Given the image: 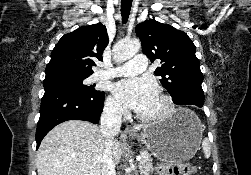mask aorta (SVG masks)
I'll return each instance as SVG.
<instances>
[{
  "instance_id": "762f6f07",
  "label": "aorta",
  "mask_w": 251,
  "mask_h": 175,
  "mask_svg": "<svg viewBox=\"0 0 251 175\" xmlns=\"http://www.w3.org/2000/svg\"><path fill=\"white\" fill-rule=\"evenodd\" d=\"M141 50L140 40H129V42H117L113 46L112 54L113 60L117 64H122V62H127L130 58H133L137 52Z\"/></svg>"
}]
</instances>
